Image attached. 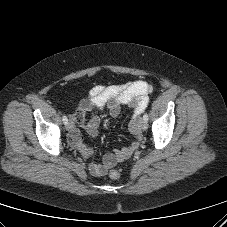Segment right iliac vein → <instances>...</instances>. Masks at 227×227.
I'll list each match as a JSON object with an SVG mask.
<instances>
[{"label": "right iliac vein", "mask_w": 227, "mask_h": 227, "mask_svg": "<svg viewBox=\"0 0 227 227\" xmlns=\"http://www.w3.org/2000/svg\"><path fill=\"white\" fill-rule=\"evenodd\" d=\"M74 128V123L72 121H69L67 124H66V129L67 130H72Z\"/></svg>", "instance_id": "obj_1"}]
</instances>
